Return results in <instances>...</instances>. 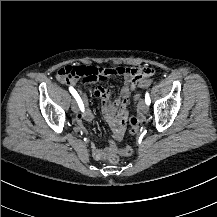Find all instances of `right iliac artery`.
I'll list each match as a JSON object with an SVG mask.
<instances>
[{
    "label": "right iliac artery",
    "mask_w": 217,
    "mask_h": 217,
    "mask_svg": "<svg viewBox=\"0 0 217 217\" xmlns=\"http://www.w3.org/2000/svg\"><path fill=\"white\" fill-rule=\"evenodd\" d=\"M69 91L70 93L73 95V97L76 99L79 108L82 112H84V104L80 98V96L78 95L77 91L73 88V87H69Z\"/></svg>",
    "instance_id": "82829eb1"
}]
</instances>
